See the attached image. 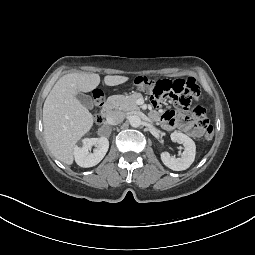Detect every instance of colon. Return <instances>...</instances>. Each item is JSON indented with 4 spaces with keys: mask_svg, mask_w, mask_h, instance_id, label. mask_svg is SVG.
Segmentation results:
<instances>
[{
    "mask_svg": "<svg viewBox=\"0 0 255 255\" xmlns=\"http://www.w3.org/2000/svg\"><path fill=\"white\" fill-rule=\"evenodd\" d=\"M134 85L151 94L154 104H159L165 97L170 98L177 103L183 110H190L193 118L202 126L205 127L204 139L211 141L213 139V128L208 124L205 110L196 106L192 109L189 108L192 100L196 99L200 94V88L194 78H188L187 80H160L154 81L147 76H137L134 79ZM95 105L99 108L103 102V96L100 91H97L94 95ZM95 122L100 124L102 122V116L96 113L94 116Z\"/></svg>",
    "mask_w": 255,
    "mask_h": 255,
    "instance_id": "colon-1",
    "label": "colon"
}]
</instances>
